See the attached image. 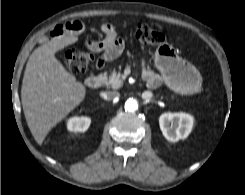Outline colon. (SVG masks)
Masks as SVG:
<instances>
[{"label": "colon", "mask_w": 245, "mask_h": 195, "mask_svg": "<svg viewBox=\"0 0 245 195\" xmlns=\"http://www.w3.org/2000/svg\"><path fill=\"white\" fill-rule=\"evenodd\" d=\"M135 37L141 46H157L164 39L162 33L143 23L137 25ZM94 62H96L97 65L103 63V52L73 49L67 51L63 56L65 68L73 74H83L87 72Z\"/></svg>", "instance_id": "colon-1"}]
</instances>
